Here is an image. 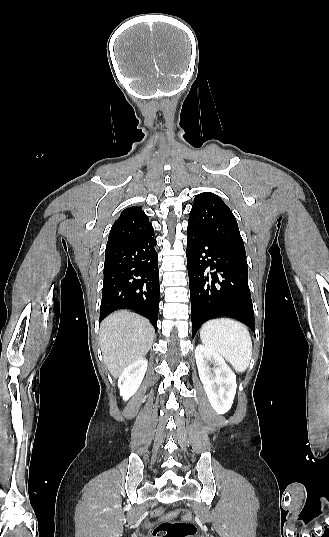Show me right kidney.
<instances>
[{
    "mask_svg": "<svg viewBox=\"0 0 329 537\" xmlns=\"http://www.w3.org/2000/svg\"><path fill=\"white\" fill-rule=\"evenodd\" d=\"M147 360L141 358L127 366L118 379L120 395L128 400L138 390L147 370Z\"/></svg>",
    "mask_w": 329,
    "mask_h": 537,
    "instance_id": "obj_1",
    "label": "right kidney"
}]
</instances>
